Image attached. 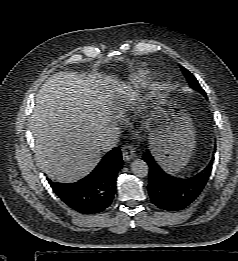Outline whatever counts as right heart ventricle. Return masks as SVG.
<instances>
[{
    "label": "right heart ventricle",
    "instance_id": "right-heart-ventricle-1",
    "mask_svg": "<svg viewBox=\"0 0 238 261\" xmlns=\"http://www.w3.org/2000/svg\"><path fill=\"white\" fill-rule=\"evenodd\" d=\"M149 76L150 75L148 71H141L136 77V83L143 84L149 78Z\"/></svg>",
    "mask_w": 238,
    "mask_h": 261
}]
</instances>
